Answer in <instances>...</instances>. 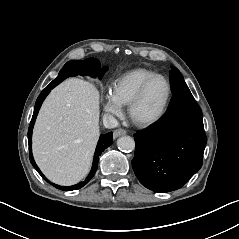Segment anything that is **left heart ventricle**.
I'll use <instances>...</instances> for the list:
<instances>
[{
    "label": "left heart ventricle",
    "mask_w": 239,
    "mask_h": 239,
    "mask_svg": "<svg viewBox=\"0 0 239 239\" xmlns=\"http://www.w3.org/2000/svg\"><path fill=\"white\" fill-rule=\"evenodd\" d=\"M168 95V86L165 80H155L145 92L136 108V114L143 119H151L160 113Z\"/></svg>",
    "instance_id": "left-heart-ventricle-1"
}]
</instances>
